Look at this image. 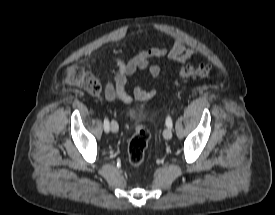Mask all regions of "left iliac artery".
I'll return each mask as SVG.
<instances>
[{
  "mask_svg": "<svg viewBox=\"0 0 275 215\" xmlns=\"http://www.w3.org/2000/svg\"><path fill=\"white\" fill-rule=\"evenodd\" d=\"M166 125L168 126V127H171L172 128V119H171V117L170 116H168L167 118H166Z\"/></svg>",
  "mask_w": 275,
  "mask_h": 215,
  "instance_id": "left-iliac-artery-1",
  "label": "left iliac artery"
}]
</instances>
